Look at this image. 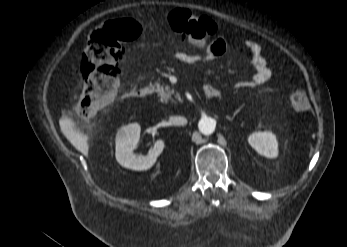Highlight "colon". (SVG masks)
I'll list each match as a JSON object with an SVG mask.
<instances>
[{"label": "colon", "mask_w": 347, "mask_h": 247, "mask_svg": "<svg viewBox=\"0 0 347 247\" xmlns=\"http://www.w3.org/2000/svg\"><path fill=\"white\" fill-rule=\"evenodd\" d=\"M169 25L195 45L203 44L217 32V24L212 19L188 10L171 12ZM141 30L140 23L135 19L118 17L104 22L93 31L80 66L83 90L73 114L77 126L113 102L120 83L124 45L137 38ZM288 102L297 111L306 110L308 97L305 89L301 86L291 87Z\"/></svg>", "instance_id": "1"}]
</instances>
